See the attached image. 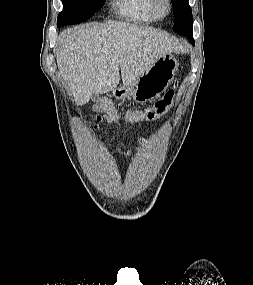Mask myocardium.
<instances>
[{"label":"myocardium","mask_w":253,"mask_h":285,"mask_svg":"<svg viewBox=\"0 0 253 285\" xmlns=\"http://www.w3.org/2000/svg\"><path fill=\"white\" fill-rule=\"evenodd\" d=\"M166 4V12L164 14H160L157 11L156 5L158 0H148V8L150 13L155 19L161 20L166 18L172 11V1L171 0H163Z\"/></svg>","instance_id":"obj_1"}]
</instances>
